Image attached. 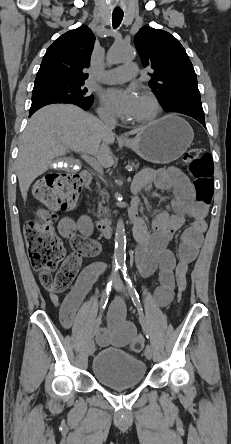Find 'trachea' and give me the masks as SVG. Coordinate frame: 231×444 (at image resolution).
Wrapping results in <instances>:
<instances>
[{
  "label": "trachea",
  "mask_w": 231,
  "mask_h": 444,
  "mask_svg": "<svg viewBox=\"0 0 231 444\" xmlns=\"http://www.w3.org/2000/svg\"><path fill=\"white\" fill-rule=\"evenodd\" d=\"M123 19V11L121 10H114L112 14V24L113 28H117Z\"/></svg>",
  "instance_id": "1"
}]
</instances>
